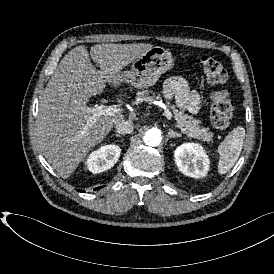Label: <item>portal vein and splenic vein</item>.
<instances>
[{
  "mask_svg": "<svg viewBox=\"0 0 274 274\" xmlns=\"http://www.w3.org/2000/svg\"><path fill=\"white\" fill-rule=\"evenodd\" d=\"M156 104L164 110L166 118L170 120L172 118V113L167 108V106L160 101H156ZM86 112L91 114V117L87 122V125H90V123H94L97 118L101 116H115L117 114H120L122 112V109L117 107L116 105L106 106L101 104L93 108L87 107Z\"/></svg>",
  "mask_w": 274,
  "mask_h": 274,
  "instance_id": "portal-vein-and-splenic-vein-1",
  "label": "portal vein and splenic vein"
}]
</instances>
